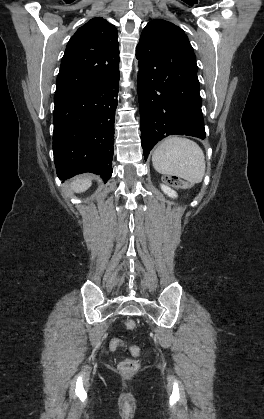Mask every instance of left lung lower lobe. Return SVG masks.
Here are the masks:
<instances>
[{"label":"left lung lower lobe","mask_w":264,"mask_h":419,"mask_svg":"<svg viewBox=\"0 0 264 419\" xmlns=\"http://www.w3.org/2000/svg\"><path fill=\"white\" fill-rule=\"evenodd\" d=\"M163 43L136 52L139 60L138 99L141 143L145 160L158 141L169 135L205 139L198 78L162 67Z\"/></svg>","instance_id":"1"}]
</instances>
